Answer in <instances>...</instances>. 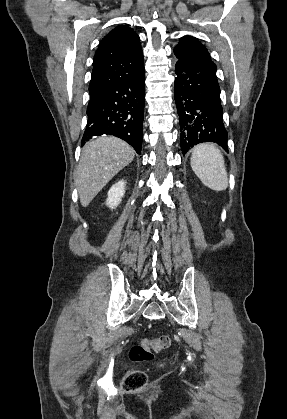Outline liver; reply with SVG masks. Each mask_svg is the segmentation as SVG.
Wrapping results in <instances>:
<instances>
[{
  "mask_svg": "<svg viewBox=\"0 0 287 419\" xmlns=\"http://www.w3.org/2000/svg\"><path fill=\"white\" fill-rule=\"evenodd\" d=\"M134 156L135 151L129 144L113 136L99 137L85 144L75 177L81 205L88 206Z\"/></svg>",
  "mask_w": 287,
  "mask_h": 419,
  "instance_id": "1",
  "label": "liver"
}]
</instances>
